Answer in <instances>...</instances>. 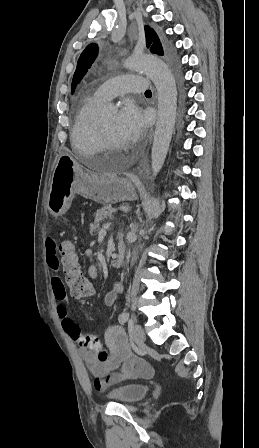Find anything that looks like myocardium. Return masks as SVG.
<instances>
[{"mask_svg":"<svg viewBox=\"0 0 259 448\" xmlns=\"http://www.w3.org/2000/svg\"><path fill=\"white\" fill-rule=\"evenodd\" d=\"M98 130H99V138L102 145V149L96 151L94 154H102L105 152H111L117 150L119 147L115 145L107 132V129L103 122L98 119ZM77 156L79 157V163H87L86 156L77 152Z\"/></svg>","mask_w":259,"mask_h":448,"instance_id":"1","label":"myocardium"}]
</instances>
